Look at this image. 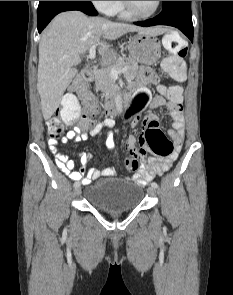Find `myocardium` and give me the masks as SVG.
Listing matches in <instances>:
<instances>
[{
    "label": "myocardium",
    "instance_id": "obj_1",
    "mask_svg": "<svg viewBox=\"0 0 233 295\" xmlns=\"http://www.w3.org/2000/svg\"><path fill=\"white\" fill-rule=\"evenodd\" d=\"M122 3H123V6H124L126 12L131 17H134V18H137V19H148V18L154 16L158 12V10H159V8L161 6V1H156V6H155V8H154V10L152 12H150L149 14H146V15H141V14L137 13L133 9L131 1H122Z\"/></svg>",
    "mask_w": 233,
    "mask_h": 295
}]
</instances>
